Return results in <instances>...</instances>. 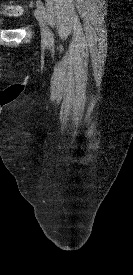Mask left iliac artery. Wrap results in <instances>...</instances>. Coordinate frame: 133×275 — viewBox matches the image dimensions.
Masks as SVG:
<instances>
[{
    "instance_id": "1",
    "label": "left iliac artery",
    "mask_w": 133,
    "mask_h": 275,
    "mask_svg": "<svg viewBox=\"0 0 133 275\" xmlns=\"http://www.w3.org/2000/svg\"><path fill=\"white\" fill-rule=\"evenodd\" d=\"M37 4V7L42 11V13L45 15V8L43 6V3L40 1V0H37L36 2ZM50 42H53L54 39H53V34L50 32V39H49Z\"/></svg>"
}]
</instances>
